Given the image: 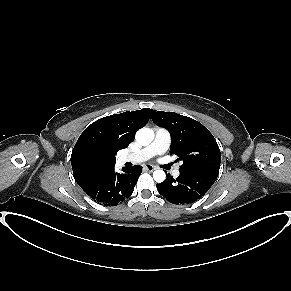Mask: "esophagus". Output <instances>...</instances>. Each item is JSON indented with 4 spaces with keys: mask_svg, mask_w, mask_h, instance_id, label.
Returning <instances> with one entry per match:
<instances>
[{
    "mask_svg": "<svg viewBox=\"0 0 291 291\" xmlns=\"http://www.w3.org/2000/svg\"><path fill=\"white\" fill-rule=\"evenodd\" d=\"M144 168L146 169V170H148V171H154V170H156L157 169V167L156 166H153V165H151V164H146L145 166H144Z\"/></svg>",
    "mask_w": 291,
    "mask_h": 291,
    "instance_id": "obj_1",
    "label": "esophagus"
}]
</instances>
